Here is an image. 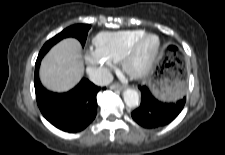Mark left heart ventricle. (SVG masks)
<instances>
[{"instance_id":"1","label":"left heart ventricle","mask_w":225,"mask_h":155,"mask_svg":"<svg viewBox=\"0 0 225 155\" xmlns=\"http://www.w3.org/2000/svg\"><path fill=\"white\" fill-rule=\"evenodd\" d=\"M155 46V39H148L142 46L141 54L142 56L148 55Z\"/></svg>"}]
</instances>
